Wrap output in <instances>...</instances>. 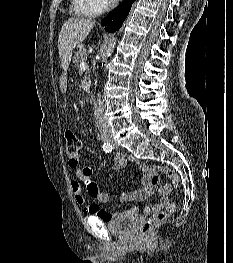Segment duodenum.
I'll return each instance as SVG.
<instances>
[{
	"mask_svg": "<svg viewBox=\"0 0 233 263\" xmlns=\"http://www.w3.org/2000/svg\"><path fill=\"white\" fill-rule=\"evenodd\" d=\"M82 87L86 92H91L92 91V86L89 85V83L92 82V79L89 78V75H82Z\"/></svg>",
	"mask_w": 233,
	"mask_h": 263,
	"instance_id": "1",
	"label": "duodenum"
}]
</instances>
